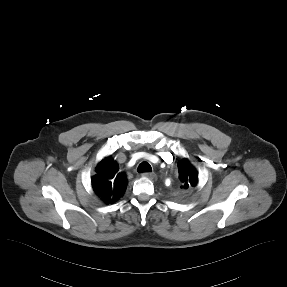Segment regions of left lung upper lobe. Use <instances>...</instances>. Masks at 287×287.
Wrapping results in <instances>:
<instances>
[{
    "mask_svg": "<svg viewBox=\"0 0 287 287\" xmlns=\"http://www.w3.org/2000/svg\"><path fill=\"white\" fill-rule=\"evenodd\" d=\"M178 170L183 188L192 187L198 183V173L187 159L178 162Z\"/></svg>",
    "mask_w": 287,
    "mask_h": 287,
    "instance_id": "5c2ea615",
    "label": "left lung upper lobe"
}]
</instances>
